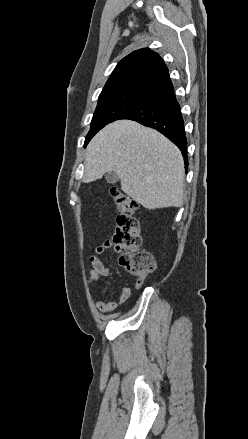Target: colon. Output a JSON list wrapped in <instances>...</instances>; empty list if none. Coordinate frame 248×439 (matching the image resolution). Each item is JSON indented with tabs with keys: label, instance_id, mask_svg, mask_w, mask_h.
I'll return each mask as SVG.
<instances>
[{
	"label": "colon",
	"instance_id": "1",
	"mask_svg": "<svg viewBox=\"0 0 248 439\" xmlns=\"http://www.w3.org/2000/svg\"><path fill=\"white\" fill-rule=\"evenodd\" d=\"M110 193L119 212L112 243L121 254L120 264L135 278V285L141 286L153 272L155 261L149 252L141 249L138 205L118 188H111Z\"/></svg>",
	"mask_w": 248,
	"mask_h": 439
}]
</instances>
